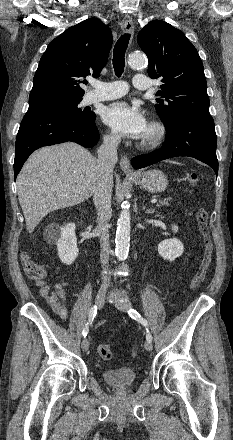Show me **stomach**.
Listing matches in <instances>:
<instances>
[{
  "label": "stomach",
  "mask_w": 233,
  "mask_h": 440,
  "mask_svg": "<svg viewBox=\"0 0 233 440\" xmlns=\"http://www.w3.org/2000/svg\"><path fill=\"white\" fill-rule=\"evenodd\" d=\"M142 188L150 193H160L168 186L167 177L160 170H148L132 177Z\"/></svg>",
  "instance_id": "stomach-1"
}]
</instances>
